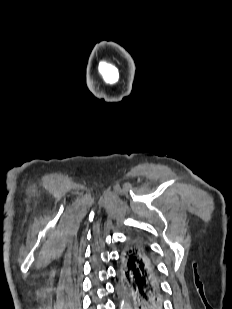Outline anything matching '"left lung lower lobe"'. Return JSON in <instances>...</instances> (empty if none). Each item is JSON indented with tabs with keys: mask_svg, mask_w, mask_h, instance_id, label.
Returning <instances> with one entry per match:
<instances>
[{
	"mask_svg": "<svg viewBox=\"0 0 232 309\" xmlns=\"http://www.w3.org/2000/svg\"><path fill=\"white\" fill-rule=\"evenodd\" d=\"M118 277L121 290L128 291L133 300L134 309H163L157 264L135 237L120 253Z\"/></svg>",
	"mask_w": 232,
	"mask_h": 309,
	"instance_id": "obj_1",
	"label": "left lung lower lobe"
}]
</instances>
